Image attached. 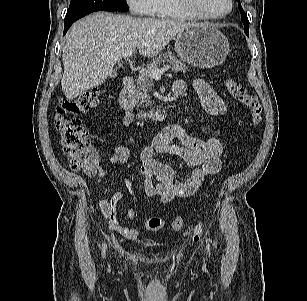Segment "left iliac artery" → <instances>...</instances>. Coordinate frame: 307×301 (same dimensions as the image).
I'll use <instances>...</instances> for the list:
<instances>
[{"label": "left iliac artery", "mask_w": 307, "mask_h": 301, "mask_svg": "<svg viewBox=\"0 0 307 301\" xmlns=\"http://www.w3.org/2000/svg\"><path fill=\"white\" fill-rule=\"evenodd\" d=\"M206 243H207V249H208V251H210V245L207 241H206Z\"/></svg>", "instance_id": "left-iliac-artery-1"}]
</instances>
